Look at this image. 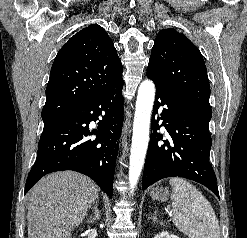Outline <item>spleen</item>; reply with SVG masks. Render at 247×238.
Returning <instances> with one entry per match:
<instances>
[{"label":"spleen","mask_w":247,"mask_h":238,"mask_svg":"<svg viewBox=\"0 0 247 238\" xmlns=\"http://www.w3.org/2000/svg\"><path fill=\"white\" fill-rule=\"evenodd\" d=\"M174 225L189 238H220V229L210 202L183 178H170Z\"/></svg>","instance_id":"1"}]
</instances>
